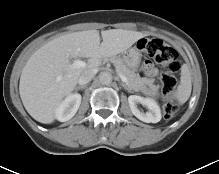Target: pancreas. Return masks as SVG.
Wrapping results in <instances>:
<instances>
[{
  "instance_id": "1",
  "label": "pancreas",
  "mask_w": 219,
  "mask_h": 174,
  "mask_svg": "<svg viewBox=\"0 0 219 174\" xmlns=\"http://www.w3.org/2000/svg\"><path fill=\"white\" fill-rule=\"evenodd\" d=\"M110 61L115 65L119 74L124 75L127 78V85L129 88L138 91L141 90L145 85L150 86L153 89H158L159 86L154 85V79L141 78L135 70L127 67L123 60L118 56H113Z\"/></svg>"
}]
</instances>
